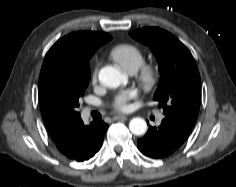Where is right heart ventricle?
Segmentation results:
<instances>
[{
    "instance_id": "right-heart-ventricle-1",
    "label": "right heart ventricle",
    "mask_w": 236,
    "mask_h": 187,
    "mask_svg": "<svg viewBox=\"0 0 236 187\" xmlns=\"http://www.w3.org/2000/svg\"><path fill=\"white\" fill-rule=\"evenodd\" d=\"M109 56L122 70L129 74L136 73L145 62L142 50L127 43L115 45L110 50Z\"/></svg>"
}]
</instances>
